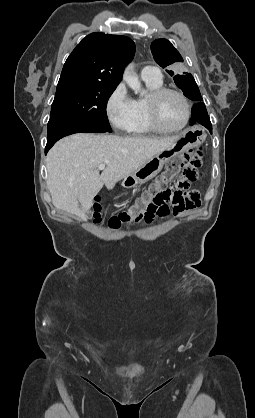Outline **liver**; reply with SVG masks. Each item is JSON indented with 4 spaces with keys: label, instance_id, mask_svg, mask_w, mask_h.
<instances>
[{
    "label": "liver",
    "instance_id": "6515ba94",
    "mask_svg": "<svg viewBox=\"0 0 255 418\" xmlns=\"http://www.w3.org/2000/svg\"><path fill=\"white\" fill-rule=\"evenodd\" d=\"M178 139L89 133L61 139L47 155V186L53 205L84 219L103 185L113 189L118 181ZM100 164L106 165L101 175L97 170Z\"/></svg>",
    "mask_w": 255,
    "mask_h": 418
}]
</instances>
